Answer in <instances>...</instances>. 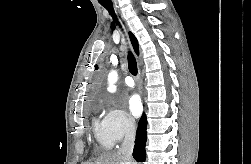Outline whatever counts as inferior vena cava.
<instances>
[{
	"instance_id": "602c4592",
	"label": "inferior vena cava",
	"mask_w": 251,
	"mask_h": 164,
	"mask_svg": "<svg viewBox=\"0 0 251 164\" xmlns=\"http://www.w3.org/2000/svg\"><path fill=\"white\" fill-rule=\"evenodd\" d=\"M136 127L133 119H128L126 123V133L124 141L118 154L122 157L126 164H132V152L134 148Z\"/></svg>"
}]
</instances>
